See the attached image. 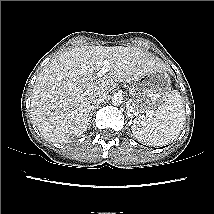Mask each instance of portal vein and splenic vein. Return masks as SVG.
Here are the masks:
<instances>
[{
	"label": "portal vein and splenic vein",
	"mask_w": 214,
	"mask_h": 214,
	"mask_svg": "<svg viewBox=\"0 0 214 214\" xmlns=\"http://www.w3.org/2000/svg\"><path fill=\"white\" fill-rule=\"evenodd\" d=\"M110 71V63L104 60L102 68L97 72V77H102L106 72Z\"/></svg>",
	"instance_id": "18ae733b"
}]
</instances>
